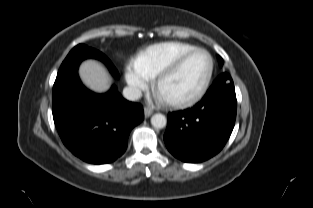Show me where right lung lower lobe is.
<instances>
[{"label": "right lung lower lobe", "mask_w": 313, "mask_h": 208, "mask_svg": "<svg viewBox=\"0 0 313 208\" xmlns=\"http://www.w3.org/2000/svg\"><path fill=\"white\" fill-rule=\"evenodd\" d=\"M86 58L103 61L119 77L111 61L95 49L84 46L68 54L53 86V119L61 140L75 156L92 164L110 163L125 152L130 131L144 113L140 104L125 100L114 86L105 94L85 88L78 66Z\"/></svg>", "instance_id": "right-lung-lower-lobe-1"}]
</instances>
